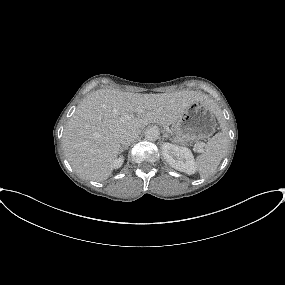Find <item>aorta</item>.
<instances>
[{"label": "aorta", "instance_id": "obj_1", "mask_svg": "<svg viewBox=\"0 0 285 285\" xmlns=\"http://www.w3.org/2000/svg\"><path fill=\"white\" fill-rule=\"evenodd\" d=\"M159 138L158 129L151 127L145 131V139L148 141H156Z\"/></svg>", "mask_w": 285, "mask_h": 285}]
</instances>
